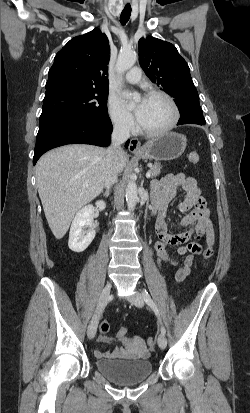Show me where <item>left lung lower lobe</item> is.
<instances>
[{
	"label": "left lung lower lobe",
	"mask_w": 250,
	"mask_h": 413,
	"mask_svg": "<svg viewBox=\"0 0 250 413\" xmlns=\"http://www.w3.org/2000/svg\"><path fill=\"white\" fill-rule=\"evenodd\" d=\"M205 123L206 121L203 117V113L201 112L191 113L189 111H185L184 114L183 113L181 114V118L179 119L177 125H181V124L205 125Z\"/></svg>",
	"instance_id": "0a47b994"
}]
</instances>
